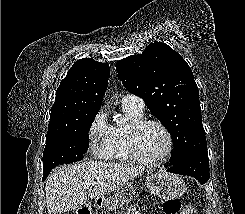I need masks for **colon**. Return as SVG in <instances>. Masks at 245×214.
Instances as JSON below:
<instances>
[{"instance_id":"colon-1","label":"colon","mask_w":245,"mask_h":214,"mask_svg":"<svg viewBox=\"0 0 245 214\" xmlns=\"http://www.w3.org/2000/svg\"><path fill=\"white\" fill-rule=\"evenodd\" d=\"M165 214H195L192 206L182 207L181 203L176 199L167 200L163 204Z\"/></svg>"}]
</instances>
